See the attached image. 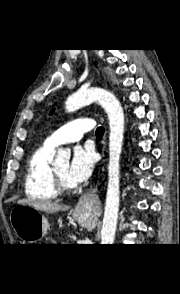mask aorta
I'll list each match as a JSON object with an SVG mask.
<instances>
[{
    "mask_svg": "<svg viewBox=\"0 0 180 294\" xmlns=\"http://www.w3.org/2000/svg\"><path fill=\"white\" fill-rule=\"evenodd\" d=\"M98 102L106 111L109 119V165L106 204L101 230V244L111 245L114 242L119 211L120 190V156L124 134V112L120 102L110 92L101 88L80 89L68 97L65 103L67 112L76 111L83 106ZM70 151L58 149L57 163L69 164Z\"/></svg>",
    "mask_w": 180,
    "mask_h": 294,
    "instance_id": "762f6f07",
    "label": "aorta"
}]
</instances>
